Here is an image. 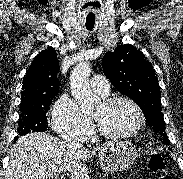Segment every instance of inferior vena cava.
<instances>
[{
    "instance_id": "1",
    "label": "inferior vena cava",
    "mask_w": 183,
    "mask_h": 179,
    "mask_svg": "<svg viewBox=\"0 0 183 179\" xmlns=\"http://www.w3.org/2000/svg\"><path fill=\"white\" fill-rule=\"evenodd\" d=\"M65 144L71 150H77L82 147L81 143L75 137H67L65 139Z\"/></svg>"
}]
</instances>
